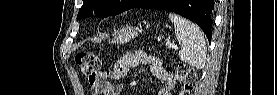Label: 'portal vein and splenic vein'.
<instances>
[{
  "instance_id": "18ae733b",
  "label": "portal vein and splenic vein",
  "mask_w": 277,
  "mask_h": 95,
  "mask_svg": "<svg viewBox=\"0 0 277 95\" xmlns=\"http://www.w3.org/2000/svg\"><path fill=\"white\" fill-rule=\"evenodd\" d=\"M166 46H168L170 48L178 49V46L174 43L166 42Z\"/></svg>"
}]
</instances>
